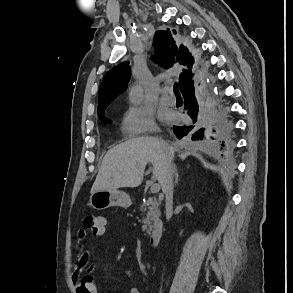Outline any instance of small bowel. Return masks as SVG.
Segmentation results:
<instances>
[{
    "label": "small bowel",
    "mask_w": 293,
    "mask_h": 293,
    "mask_svg": "<svg viewBox=\"0 0 293 293\" xmlns=\"http://www.w3.org/2000/svg\"><path fill=\"white\" fill-rule=\"evenodd\" d=\"M106 233V229L97 234L94 235L96 237H103ZM88 237V233L84 229H80L77 232V241L80 245L83 244V242ZM89 251L84 249L83 246H81L77 261L75 263L72 279L77 287V293H98L97 287L93 281V278L90 275H82L84 268L88 266L89 264ZM133 276L132 271L127 270L125 272V277L127 279H131ZM129 293H140V290L136 286H130Z\"/></svg>",
    "instance_id": "c3829d8e"
}]
</instances>
